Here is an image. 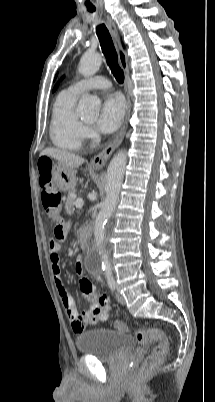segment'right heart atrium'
I'll use <instances>...</instances> for the list:
<instances>
[{"label": "right heart atrium", "instance_id": "obj_1", "mask_svg": "<svg viewBox=\"0 0 215 402\" xmlns=\"http://www.w3.org/2000/svg\"><path fill=\"white\" fill-rule=\"evenodd\" d=\"M83 136L86 139L95 140L97 138V132L89 126H84Z\"/></svg>", "mask_w": 215, "mask_h": 402}]
</instances>
